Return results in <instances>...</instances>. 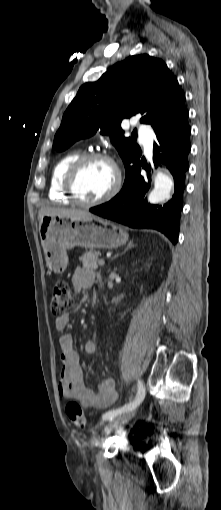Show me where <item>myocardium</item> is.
<instances>
[{
    "label": "myocardium",
    "mask_w": 221,
    "mask_h": 510,
    "mask_svg": "<svg viewBox=\"0 0 221 510\" xmlns=\"http://www.w3.org/2000/svg\"><path fill=\"white\" fill-rule=\"evenodd\" d=\"M93 160H102L109 163L115 173V182L111 190L104 196L91 201L83 200L76 191L75 183L84 165ZM122 186V173L116 161L103 152H87L81 154L69 167L64 177L63 190L66 196L76 205L82 207H94L112 200L120 191Z\"/></svg>",
    "instance_id": "1"
}]
</instances>
